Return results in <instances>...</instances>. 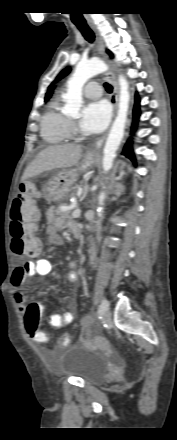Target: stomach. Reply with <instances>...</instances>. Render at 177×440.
I'll list each match as a JSON object with an SVG mask.
<instances>
[{"instance_id":"stomach-1","label":"stomach","mask_w":177,"mask_h":440,"mask_svg":"<svg viewBox=\"0 0 177 440\" xmlns=\"http://www.w3.org/2000/svg\"><path fill=\"white\" fill-rule=\"evenodd\" d=\"M97 161V157L85 155L80 166L76 169H62L58 171L43 187V195L47 201L58 202L64 199L71 186L77 179L78 171L92 167Z\"/></svg>"}]
</instances>
